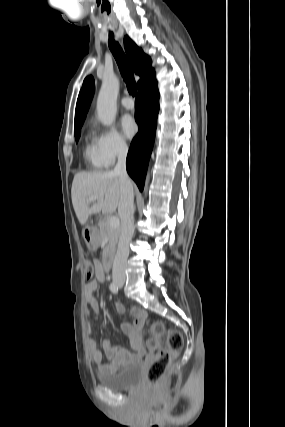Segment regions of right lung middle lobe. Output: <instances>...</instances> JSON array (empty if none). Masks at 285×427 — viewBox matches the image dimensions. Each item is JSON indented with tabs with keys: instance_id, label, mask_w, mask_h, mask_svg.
Instances as JSON below:
<instances>
[{
	"instance_id": "right-lung-middle-lobe-1",
	"label": "right lung middle lobe",
	"mask_w": 285,
	"mask_h": 427,
	"mask_svg": "<svg viewBox=\"0 0 285 427\" xmlns=\"http://www.w3.org/2000/svg\"><path fill=\"white\" fill-rule=\"evenodd\" d=\"M80 132H81V127L74 129L76 142L78 141V139L80 137Z\"/></svg>"
}]
</instances>
